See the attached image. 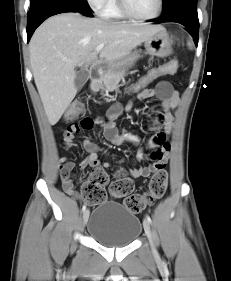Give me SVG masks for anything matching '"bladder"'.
I'll use <instances>...</instances> for the list:
<instances>
[{"label":"bladder","instance_id":"bladder-1","mask_svg":"<svg viewBox=\"0 0 231 281\" xmlns=\"http://www.w3.org/2000/svg\"><path fill=\"white\" fill-rule=\"evenodd\" d=\"M87 222L90 237L109 248L130 245L142 231L141 221L132 211L111 201L99 204Z\"/></svg>","mask_w":231,"mask_h":281}]
</instances>
